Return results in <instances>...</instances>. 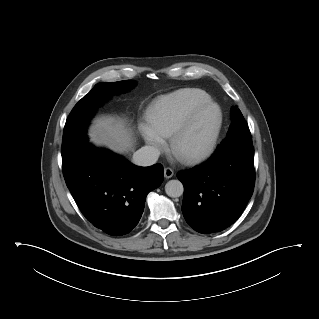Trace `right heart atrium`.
<instances>
[{"instance_id": "1", "label": "right heart atrium", "mask_w": 319, "mask_h": 319, "mask_svg": "<svg viewBox=\"0 0 319 319\" xmlns=\"http://www.w3.org/2000/svg\"><path fill=\"white\" fill-rule=\"evenodd\" d=\"M140 132L145 142L155 148L158 151H161L165 147V141L163 137L155 131L150 125L142 124L140 126Z\"/></svg>"}]
</instances>
